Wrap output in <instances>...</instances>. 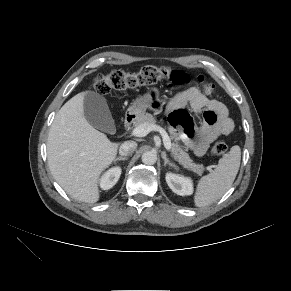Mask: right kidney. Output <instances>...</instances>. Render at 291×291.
Segmentation results:
<instances>
[{"label": "right kidney", "mask_w": 291, "mask_h": 291, "mask_svg": "<svg viewBox=\"0 0 291 291\" xmlns=\"http://www.w3.org/2000/svg\"><path fill=\"white\" fill-rule=\"evenodd\" d=\"M121 175V168L114 167L109 169L101 178L100 186L103 190H108L112 188L117 181L119 180Z\"/></svg>", "instance_id": "1"}]
</instances>
